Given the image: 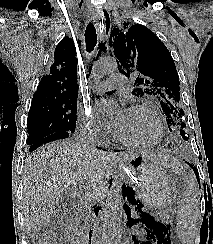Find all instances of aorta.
<instances>
[{"label":"aorta","mask_w":213,"mask_h":244,"mask_svg":"<svg viewBox=\"0 0 213 244\" xmlns=\"http://www.w3.org/2000/svg\"><path fill=\"white\" fill-rule=\"evenodd\" d=\"M117 70V62L114 58H102L92 67V78L100 80L109 73ZM101 109L103 112L110 114L116 108V104L105 98L100 99ZM106 219L108 224L109 235L114 244H122L123 241V196L121 185L116 182L113 184L106 200Z\"/></svg>","instance_id":"1"}]
</instances>
